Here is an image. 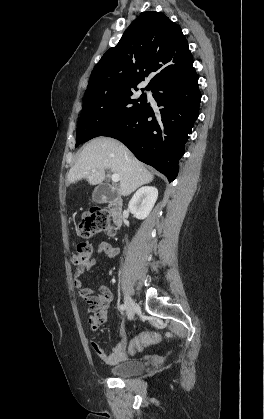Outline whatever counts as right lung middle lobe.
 <instances>
[{"instance_id": "1", "label": "right lung middle lobe", "mask_w": 264, "mask_h": 419, "mask_svg": "<svg viewBox=\"0 0 264 419\" xmlns=\"http://www.w3.org/2000/svg\"><path fill=\"white\" fill-rule=\"evenodd\" d=\"M146 102V94L142 93L137 98L133 95V89L85 96L77 123L76 147L112 130L143 107Z\"/></svg>"}]
</instances>
